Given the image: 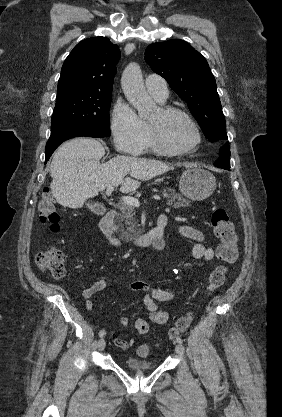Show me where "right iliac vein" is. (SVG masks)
<instances>
[{
	"mask_svg": "<svg viewBox=\"0 0 282 417\" xmlns=\"http://www.w3.org/2000/svg\"><path fill=\"white\" fill-rule=\"evenodd\" d=\"M105 346H106V342H105V340H104L103 338H101V339L98 341V349H99L100 351H103V350L105 349Z\"/></svg>",
	"mask_w": 282,
	"mask_h": 417,
	"instance_id": "obj_1",
	"label": "right iliac vein"
}]
</instances>
